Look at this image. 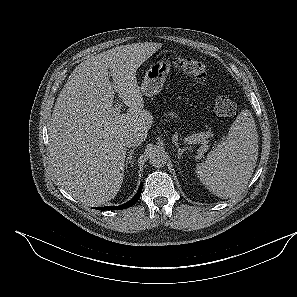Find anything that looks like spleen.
I'll use <instances>...</instances> for the list:
<instances>
[{"instance_id":"1","label":"spleen","mask_w":297,"mask_h":297,"mask_svg":"<svg viewBox=\"0 0 297 297\" xmlns=\"http://www.w3.org/2000/svg\"><path fill=\"white\" fill-rule=\"evenodd\" d=\"M258 134L249 110H243L232 123L224 141L196 166L199 180L220 198H231L246 187L256 166Z\"/></svg>"}]
</instances>
